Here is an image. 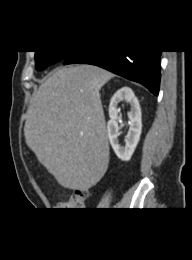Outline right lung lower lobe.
<instances>
[{
  "mask_svg": "<svg viewBox=\"0 0 192 260\" xmlns=\"http://www.w3.org/2000/svg\"><path fill=\"white\" fill-rule=\"evenodd\" d=\"M161 51L89 50L70 52L63 64L86 63L105 68L126 79L144 85L158 95Z\"/></svg>",
  "mask_w": 192,
  "mask_h": 260,
  "instance_id": "1",
  "label": "right lung lower lobe"
}]
</instances>
